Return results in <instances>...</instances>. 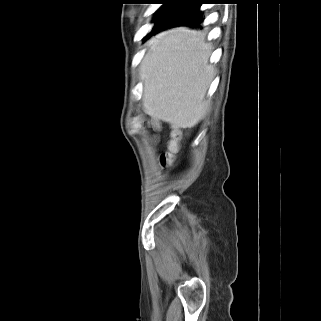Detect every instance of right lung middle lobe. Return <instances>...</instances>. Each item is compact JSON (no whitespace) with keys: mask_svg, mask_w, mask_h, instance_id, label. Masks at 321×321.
<instances>
[{"mask_svg":"<svg viewBox=\"0 0 321 321\" xmlns=\"http://www.w3.org/2000/svg\"><path fill=\"white\" fill-rule=\"evenodd\" d=\"M173 8H175V5H173L172 3H163V5L155 13L154 19L152 21L154 23L153 29L157 26L161 19Z\"/></svg>","mask_w":321,"mask_h":321,"instance_id":"1","label":"right lung middle lobe"}]
</instances>
